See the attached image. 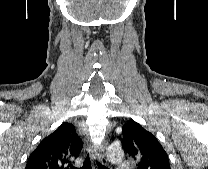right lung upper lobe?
Returning a JSON list of instances; mask_svg holds the SVG:
<instances>
[{"label": "right lung upper lobe", "mask_w": 208, "mask_h": 169, "mask_svg": "<svg viewBox=\"0 0 208 169\" xmlns=\"http://www.w3.org/2000/svg\"><path fill=\"white\" fill-rule=\"evenodd\" d=\"M82 145L73 124L64 122L40 142L25 169H75L71 163L79 156Z\"/></svg>", "instance_id": "1"}]
</instances>
